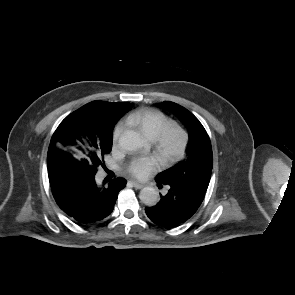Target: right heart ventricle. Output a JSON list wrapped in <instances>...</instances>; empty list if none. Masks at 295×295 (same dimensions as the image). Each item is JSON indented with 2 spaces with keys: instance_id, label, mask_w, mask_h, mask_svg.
<instances>
[{
  "instance_id": "obj_1",
  "label": "right heart ventricle",
  "mask_w": 295,
  "mask_h": 295,
  "mask_svg": "<svg viewBox=\"0 0 295 295\" xmlns=\"http://www.w3.org/2000/svg\"><path fill=\"white\" fill-rule=\"evenodd\" d=\"M128 121L149 139H154L170 119L157 109H141L132 113Z\"/></svg>"
}]
</instances>
